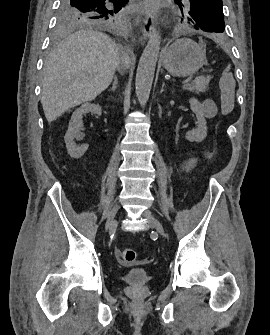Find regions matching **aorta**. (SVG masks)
I'll use <instances>...</instances> for the list:
<instances>
[{
    "mask_svg": "<svg viewBox=\"0 0 270 335\" xmlns=\"http://www.w3.org/2000/svg\"><path fill=\"white\" fill-rule=\"evenodd\" d=\"M160 40L159 32H153L138 64L135 90L141 106H145L149 100L160 50Z\"/></svg>",
    "mask_w": 270,
    "mask_h": 335,
    "instance_id": "aorta-1",
    "label": "aorta"
}]
</instances>
